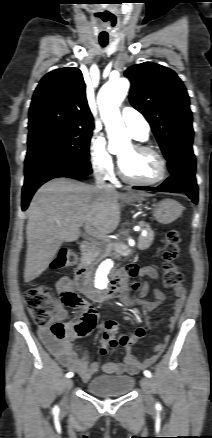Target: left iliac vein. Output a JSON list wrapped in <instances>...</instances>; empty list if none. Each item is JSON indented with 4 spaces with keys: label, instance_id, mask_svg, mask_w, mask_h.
Listing matches in <instances>:
<instances>
[{
    "label": "left iliac vein",
    "instance_id": "left-iliac-vein-1",
    "mask_svg": "<svg viewBox=\"0 0 212 438\" xmlns=\"http://www.w3.org/2000/svg\"><path fill=\"white\" fill-rule=\"evenodd\" d=\"M141 387L145 393V400L148 407H152L154 405V398L151 390V382L148 377H142L141 379Z\"/></svg>",
    "mask_w": 212,
    "mask_h": 438
}]
</instances>
